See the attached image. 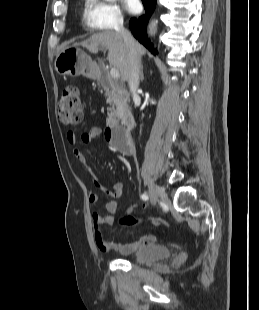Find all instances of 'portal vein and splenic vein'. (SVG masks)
Masks as SVG:
<instances>
[{
  "label": "portal vein and splenic vein",
  "mask_w": 259,
  "mask_h": 310,
  "mask_svg": "<svg viewBox=\"0 0 259 310\" xmlns=\"http://www.w3.org/2000/svg\"><path fill=\"white\" fill-rule=\"evenodd\" d=\"M110 75L114 79H118L120 77V73H119L118 69H116L115 67L110 69Z\"/></svg>",
  "instance_id": "18ae733b"
}]
</instances>
